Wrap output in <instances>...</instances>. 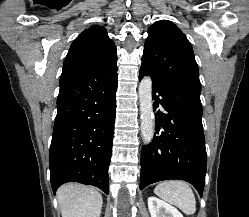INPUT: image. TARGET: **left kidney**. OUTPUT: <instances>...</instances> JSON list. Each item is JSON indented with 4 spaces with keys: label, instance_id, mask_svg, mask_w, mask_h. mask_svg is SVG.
<instances>
[{
    "label": "left kidney",
    "instance_id": "5707ae66",
    "mask_svg": "<svg viewBox=\"0 0 249 217\" xmlns=\"http://www.w3.org/2000/svg\"><path fill=\"white\" fill-rule=\"evenodd\" d=\"M148 208L151 217H184L177 208L154 196L148 198Z\"/></svg>",
    "mask_w": 249,
    "mask_h": 217
}]
</instances>
